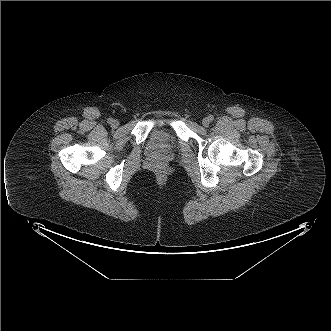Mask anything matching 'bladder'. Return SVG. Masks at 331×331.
Wrapping results in <instances>:
<instances>
[{"mask_svg":"<svg viewBox=\"0 0 331 331\" xmlns=\"http://www.w3.org/2000/svg\"><path fill=\"white\" fill-rule=\"evenodd\" d=\"M178 144V136L173 130L157 127L149 133L146 148L151 155H164L175 152Z\"/></svg>","mask_w":331,"mask_h":331,"instance_id":"1","label":"bladder"}]
</instances>
